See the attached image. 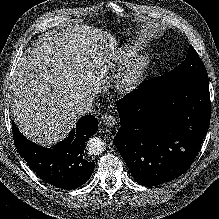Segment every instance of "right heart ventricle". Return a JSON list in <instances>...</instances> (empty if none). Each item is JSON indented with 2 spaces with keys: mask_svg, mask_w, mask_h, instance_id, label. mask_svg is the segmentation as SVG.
I'll return each instance as SVG.
<instances>
[{
  "mask_svg": "<svg viewBox=\"0 0 219 219\" xmlns=\"http://www.w3.org/2000/svg\"><path fill=\"white\" fill-rule=\"evenodd\" d=\"M136 56H138V50L135 48H123L119 53L115 54L112 61L108 62V67L112 69H118L122 65L129 63Z\"/></svg>",
  "mask_w": 219,
  "mask_h": 219,
  "instance_id": "1",
  "label": "right heart ventricle"
}]
</instances>
